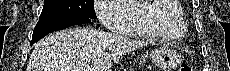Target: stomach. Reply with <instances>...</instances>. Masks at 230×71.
<instances>
[{
  "label": "stomach",
  "instance_id": "1",
  "mask_svg": "<svg viewBox=\"0 0 230 71\" xmlns=\"http://www.w3.org/2000/svg\"><path fill=\"white\" fill-rule=\"evenodd\" d=\"M151 58L162 71H171L179 64V55L169 48H160L153 51Z\"/></svg>",
  "mask_w": 230,
  "mask_h": 71
}]
</instances>
